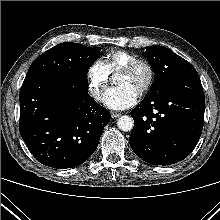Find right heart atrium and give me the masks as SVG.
Listing matches in <instances>:
<instances>
[{
	"label": "right heart atrium",
	"instance_id": "1",
	"mask_svg": "<svg viewBox=\"0 0 220 220\" xmlns=\"http://www.w3.org/2000/svg\"><path fill=\"white\" fill-rule=\"evenodd\" d=\"M88 89L92 97L100 100L110 78V71L102 59L94 60L88 67L87 72Z\"/></svg>",
	"mask_w": 220,
	"mask_h": 220
}]
</instances>
